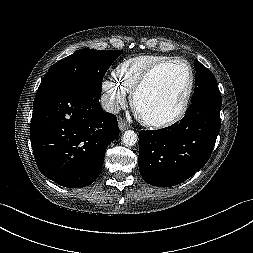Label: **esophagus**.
I'll return each instance as SVG.
<instances>
[{
    "mask_svg": "<svg viewBox=\"0 0 253 253\" xmlns=\"http://www.w3.org/2000/svg\"><path fill=\"white\" fill-rule=\"evenodd\" d=\"M118 126L121 131H125L129 128V125L127 124V122L122 118L118 120Z\"/></svg>",
    "mask_w": 253,
    "mask_h": 253,
    "instance_id": "34e87169",
    "label": "esophagus"
}]
</instances>
